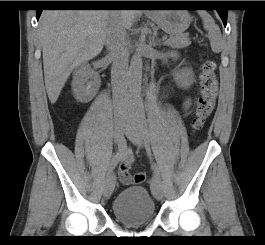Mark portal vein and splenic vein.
Masks as SVG:
<instances>
[{"label": "portal vein and splenic vein", "mask_w": 265, "mask_h": 245, "mask_svg": "<svg viewBox=\"0 0 265 245\" xmlns=\"http://www.w3.org/2000/svg\"><path fill=\"white\" fill-rule=\"evenodd\" d=\"M163 42L164 44H167L168 42H170V39L163 38Z\"/></svg>", "instance_id": "obj_1"}]
</instances>
